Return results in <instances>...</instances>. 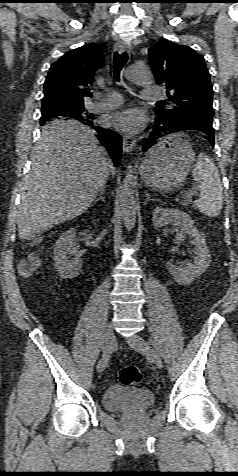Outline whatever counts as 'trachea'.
<instances>
[{
  "instance_id": "obj_1",
  "label": "trachea",
  "mask_w": 238,
  "mask_h": 476,
  "mask_svg": "<svg viewBox=\"0 0 238 476\" xmlns=\"http://www.w3.org/2000/svg\"><path fill=\"white\" fill-rule=\"evenodd\" d=\"M128 59V54L123 52L119 54L118 52L114 53V61H113V72L116 81H120V71L122 70L123 66L125 65ZM162 103V102H159Z\"/></svg>"
}]
</instances>
